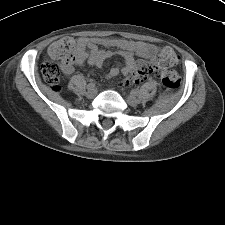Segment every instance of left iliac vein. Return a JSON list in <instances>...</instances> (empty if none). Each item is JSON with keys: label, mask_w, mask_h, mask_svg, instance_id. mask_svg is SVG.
Returning a JSON list of instances; mask_svg holds the SVG:
<instances>
[{"label": "left iliac vein", "mask_w": 225, "mask_h": 225, "mask_svg": "<svg viewBox=\"0 0 225 225\" xmlns=\"http://www.w3.org/2000/svg\"><path fill=\"white\" fill-rule=\"evenodd\" d=\"M126 100L130 106H136L139 103V100L133 95H128Z\"/></svg>", "instance_id": "1"}]
</instances>
